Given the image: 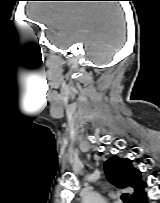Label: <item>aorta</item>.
<instances>
[{
  "label": "aorta",
  "mask_w": 160,
  "mask_h": 203,
  "mask_svg": "<svg viewBox=\"0 0 160 203\" xmlns=\"http://www.w3.org/2000/svg\"><path fill=\"white\" fill-rule=\"evenodd\" d=\"M82 203H104V200L97 192H88L84 195Z\"/></svg>",
  "instance_id": "762f6f07"
}]
</instances>
